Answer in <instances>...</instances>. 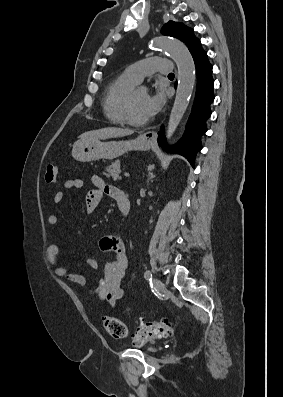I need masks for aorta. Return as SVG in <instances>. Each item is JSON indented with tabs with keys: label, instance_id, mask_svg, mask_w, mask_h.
I'll return each instance as SVG.
<instances>
[{
	"label": "aorta",
	"instance_id": "obj_1",
	"mask_svg": "<svg viewBox=\"0 0 283 397\" xmlns=\"http://www.w3.org/2000/svg\"><path fill=\"white\" fill-rule=\"evenodd\" d=\"M156 48L167 51L178 68V86L167 126V139L175 133L191 98L195 84V64L187 46L177 39L157 37L152 41Z\"/></svg>",
	"mask_w": 283,
	"mask_h": 397
}]
</instances>
